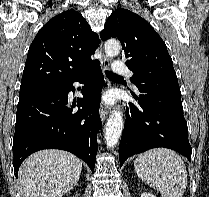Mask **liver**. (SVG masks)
I'll return each instance as SVG.
<instances>
[{
	"label": "liver",
	"mask_w": 209,
	"mask_h": 197,
	"mask_svg": "<svg viewBox=\"0 0 209 197\" xmlns=\"http://www.w3.org/2000/svg\"><path fill=\"white\" fill-rule=\"evenodd\" d=\"M82 161L62 150H41L20 167L23 197H63L77 184Z\"/></svg>",
	"instance_id": "obj_1"
}]
</instances>
